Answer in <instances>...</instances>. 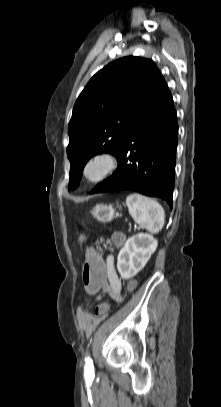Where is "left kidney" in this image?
Here are the masks:
<instances>
[{
  "instance_id": "5707ae66",
  "label": "left kidney",
  "mask_w": 221,
  "mask_h": 407,
  "mask_svg": "<svg viewBox=\"0 0 221 407\" xmlns=\"http://www.w3.org/2000/svg\"><path fill=\"white\" fill-rule=\"evenodd\" d=\"M157 245V240L146 233H138L128 238L117 257V270L121 277L128 280L141 271Z\"/></svg>"
}]
</instances>
